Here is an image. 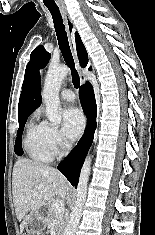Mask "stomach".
Here are the masks:
<instances>
[{"label":"stomach","mask_w":155,"mask_h":235,"mask_svg":"<svg viewBox=\"0 0 155 235\" xmlns=\"http://www.w3.org/2000/svg\"><path fill=\"white\" fill-rule=\"evenodd\" d=\"M46 227V219L45 217L39 213L36 212L31 216V218L28 221V224L26 226V234L27 235H36Z\"/></svg>","instance_id":"obj_1"}]
</instances>
